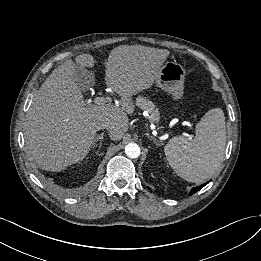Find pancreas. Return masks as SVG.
I'll return each instance as SVG.
<instances>
[{"label": "pancreas", "instance_id": "pancreas-1", "mask_svg": "<svg viewBox=\"0 0 261 261\" xmlns=\"http://www.w3.org/2000/svg\"><path fill=\"white\" fill-rule=\"evenodd\" d=\"M136 105L140 109L146 110L150 114L149 119L152 122H158L159 121V119H160L159 110L156 108L155 104L150 99H148L147 97L139 95L136 98Z\"/></svg>", "mask_w": 261, "mask_h": 261}]
</instances>
